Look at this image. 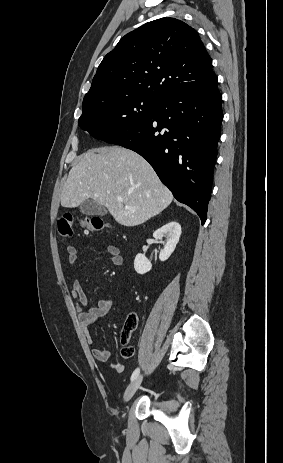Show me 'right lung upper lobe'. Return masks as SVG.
Listing matches in <instances>:
<instances>
[{"instance_id":"obj_1","label":"right lung upper lobe","mask_w":283,"mask_h":463,"mask_svg":"<svg viewBox=\"0 0 283 463\" xmlns=\"http://www.w3.org/2000/svg\"><path fill=\"white\" fill-rule=\"evenodd\" d=\"M216 79L195 29L175 18H160L125 35L104 57L83 105L110 95L160 101Z\"/></svg>"}]
</instances>
